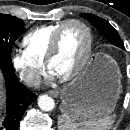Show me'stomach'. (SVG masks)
Segmentation results:
<instances>
[{"label":"stomach","instance_id":"1","mask_svg":"<svg viewBox=\"0 0 130 130\" xmlns=\"http://www.w3.org/2000/svg\"><path fill=\"white\" fill-rule=\"evenodd\" d=\"M121 93V72L110 56L97 54L85 71L61 91V111L78 121L110 115Z\"/></svg>","mask_w":130,"mask_h":130}]
</instances>
